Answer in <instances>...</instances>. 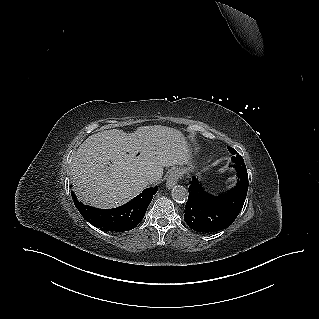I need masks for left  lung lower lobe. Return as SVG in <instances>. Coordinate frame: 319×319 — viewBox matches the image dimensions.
Wrapping results in <instances>:
<instances>
[{"instance_id":"obj_1","label":"left lung lower lobe","mask_w":319,"mask_h":319,"mask_svg":"<svg viewBox=\"0 0 319 319\" xmlns=\"http://www.w3.org/2000/svg\"><path fill=\"white\" fill-rule=\"evenodd\" d=\"M237 170V185L225 194L212 196L204 191L198 179L190 181L184 220L198 232H216L229 227L242 210L247 190L245 164L232 165Z\"/></svg>"}]
</instances>
